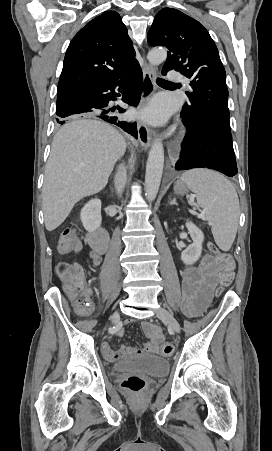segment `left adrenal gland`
Instances as JSON below:
<instances>
[{
    "label": "left adrenal gland",
    "instance_id": "left-adrenal-gland-1",
    "mask_svg": "<svg viewBox=\"0 0 272 451\" xmlns=\"http://www.w3.org/2000/svg\"><path fill=\"white\" fill-rule=\"evenodd\" d=\"M173 204H176V198H173V200H171L170 206H173ZM176 206H177V204H176Z\"/></svg>",
    "mask_w": 272,
    "mask_h": 451
}]
</instances>
